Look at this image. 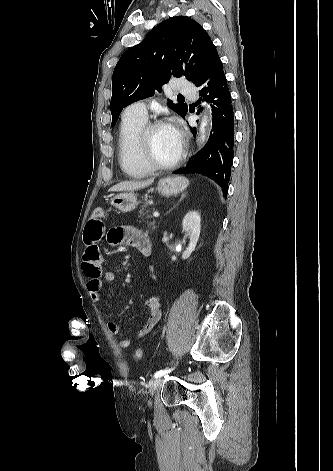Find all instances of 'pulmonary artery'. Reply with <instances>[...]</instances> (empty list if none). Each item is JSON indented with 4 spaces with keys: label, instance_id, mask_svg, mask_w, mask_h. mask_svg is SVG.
<instances>
[{
    "label": "pulmonary artery",
    "instance_id": "e3ab8cb5",
    "mask_svg": "<svg viewBox=\"0 0 333 471\" xmlns=\"http://www.w3.org/2000/svg\"><path fill=\"white\" fill-rule=\"evenodd\" d=\"M175 89L183 95H187V96L195 95V88L193 87V85L183 79L176 80ZM124 115L147 120V109H146L145 103L142 101H138L129 105L125 109Z\"/></svg>",
    "mask_w": 333,
    "mask_h": 471
}]
</instances>
